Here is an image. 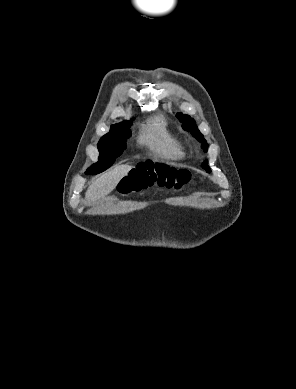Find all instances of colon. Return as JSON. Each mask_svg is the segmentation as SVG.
<instances>
[{
	"label": "colon",
	"mask_w": 296,
	"mask_h": 389,
	"mask_svg": "<svg viewBox=\"0 0 296 389\" xmlns=\"http://www.w3.org/2000/svg\"><path fill=\"white\" fill-rule=\"evenodd\" d=\"M190 182L191 175L186 170L147 161L131 169L128 176L121 181L119 192L130 195L154 185L179 189Z\"/></svg>",
	"instance_id": "1"
}]
</instances>
